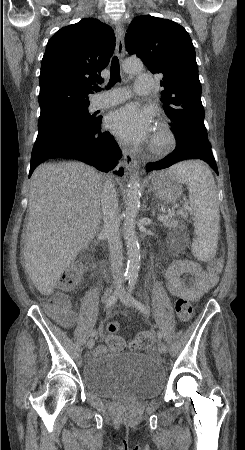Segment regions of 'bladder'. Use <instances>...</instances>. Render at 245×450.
Masks as SVG:
<instances>
[{
  "label": "bladder",
  "instance_id": "31cf9c89",
  "mask_svg": "<svg viewBox=\"0 0 245 450\" xmlns=\"http://www.w3.org/2000/svg\"><path fill=\"white\" fill-rule=\"evenodd\" d=\"M82 380L87 391L99 397L124 393L145 398L159 395L165 372L157 360L141 353L106 354L84 364Z\"/></svg>",
  "mask_w": 245,
  "mask_h": 450
}]
</instances>
